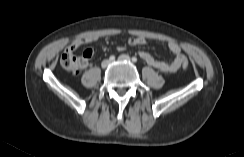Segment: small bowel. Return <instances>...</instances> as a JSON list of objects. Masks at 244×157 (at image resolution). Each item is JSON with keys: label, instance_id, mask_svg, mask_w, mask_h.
<instances>
[{"label": "small bowel", "instance_id": "c3829d8e", "mask_svg": "<svg viewBox=\"0 0 244 157\" xmlns=\"http://www.w3.org/2000/svg\"><path fill=\"white\" fill-rule=\"evenodd\" d=\"M98 39L94 36H88V37H82L77 38L73 40L69 46L68 49L75 50L79 46L87 44V43H93L96 42ZM128 43L132 46H138V45H145L147 43V40L144 37H130L128 39ZM167 47L172 53L173 57L169 61H160L156 60L151 54L145 51H141L139 53L140 58L149 66L155 68L156 70L163 72V73H174L176 72L180 66H181V59H182V53L179 45L175 43L174 41H168ZM94 54V49L91 48ZM118 51L124 50V47L119 46L117 47Z\"/></svg>", "mask_w": 244, "mask_h": 157}]
</instances>
